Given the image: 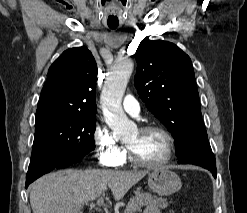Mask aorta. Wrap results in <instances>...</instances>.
<instances>
[{
  "label": "aorta",
  "mask_w": 247,
  "mask_h": 213,
  "mask_svg": "<svg viewBox=\"0 0 247 213\" xmlns=\"http://www.w3.org/2000/svg\"><path fill=\"white\" fill-rule=\"evenodd\" d=\"M133 71L130 59L117 62L109 72L101 92V104L105 121L116 136L129 134L135 129V124L127 118L121 102Z\"/></svg>",
  "instance_id": "aorta-1"
}]
</instances>
